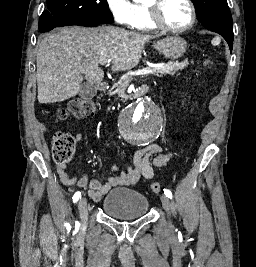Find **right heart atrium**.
<instances>
[{
  "instance_id": "1",
  "label": "right heart atrium",
  "mask_w": 256,
  "mask_h": 267,
  "mask_svg": "<svg viewBox=\"0 0 256 267\" xmlns=\"http://www.w3.org/2000/svg\"><path fill=\"white\" fill-rule=\"evenodd\" d=\"M114 22H121V25H124V27H131L132 19L131 17L126 16H116L114 14ZM108 56H113L114 54H107Z\"/></svg>"
}]
</instances>
